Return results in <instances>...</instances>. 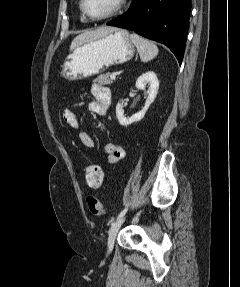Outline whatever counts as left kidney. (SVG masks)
Returning <instances> with one entry per match:
<instances>
[{
    "label": "left kidney",
    "mask_w": 240,
    "mask_h": 287,
    "mask_svg": "<svg viewBox=\"0 0 240 287\" xmlns=\"http://www.w3.org/2000/svg\"><path fill=\"white\" fill-rule=\"evenodd\" d=\"M149 85L147 91H145V86ZM135 86L140 89L144 90L145 94L147 95L145 106L142 110L138 113L134 114L131 117H126L124 115L123 110V100H119L116 106V117L122 126L130 125L134 122H138L142 120L145 116L146 111L148 110L149 106L154 102L158 89H159V81L156 74L153 71H148L143 73L140 77H138Z\"/></svg>",
    "instance_id": "1"
}]
</instances>
